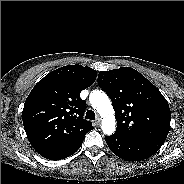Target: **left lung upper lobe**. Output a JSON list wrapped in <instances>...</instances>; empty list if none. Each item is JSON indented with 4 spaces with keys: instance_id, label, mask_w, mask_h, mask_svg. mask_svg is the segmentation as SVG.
I'll use <instances>...</instances> for the list:
<instances>
[{
    "instance_id": "5c2ea615",
    "label": "left lung upper lobe",
    "mask_w": 184,
    "mask_h": 184,
    "mask_svg": "<svg viewBox=\"0 0 184 184\" xmlns=\"http://www.w3.org/2000/svg\"><path fill=\"white\" fill-rule=\"evenodd\" d=\"M98 85L112 100L116 134L157 152L170 130L171 112L161 92L131 67L101 71Z\"/></svg>"
}]
</instances>
